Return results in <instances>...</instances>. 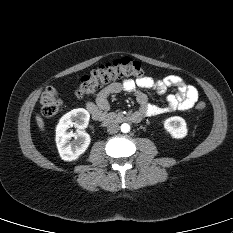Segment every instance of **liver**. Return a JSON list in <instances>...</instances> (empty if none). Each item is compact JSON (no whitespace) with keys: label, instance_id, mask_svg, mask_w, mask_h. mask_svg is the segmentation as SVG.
<instances>
[{"label":"liver","instance_id":"liver-1","mask_svg":"<svg viewBox=\"0 0 233 233\" xmlns=\"http://www.w3.org/2000/svg\"><path fill=\"white\" fill-rule=\"evenodd\" d=\"M36 122L40 130L44 131V121L38 114L36 115Z\"/></svg>","mask_w":233,"mask_h":233}]
</instances>
